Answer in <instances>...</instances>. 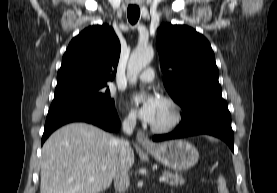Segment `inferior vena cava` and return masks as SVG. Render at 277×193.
<instances>
[{
	"label": "inferior vena cava",
	"mask_w": 277,
	"mask_h": 193,
	"mask_svg": "<svg viewBox=\"0 0 277 193\" xmlns=\"http://www.w3.org/2000/svg\"><path fill=\"white\" fill-rule=\"evenodd\" d=\"M136 126V117L128 116L122 123V130L125 134L131 135ZM118 145V152L120 158L119 171L114 176V186L118 193H125L129 187V167L128 162V152L130 150L129 142L125 139H116Z\"/></svg>",
	"instance_id": "1"
}]
</instances>
